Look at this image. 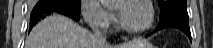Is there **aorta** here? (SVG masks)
I'll use <instances>...</instances> for the list:
<instances>
[{"label":"aorta","instance_id":"aorta-1","mask_svg":"<svg viewBox=\"0 0 213 48\" xmlns=\"http://www.w3.org/2000/svg\"><path fill=\"white\" fill-rule=\"evenodd\" d=\"M102 4H110L113 3L114 0H101Z\"/></svg>","mask_w":213,"mask_h":48}]
</instances>
